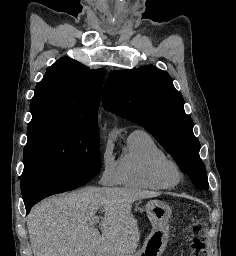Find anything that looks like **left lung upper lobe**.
Returning a JSON list of instances; mask_svg holds the SVG:
<instances>
[{"mask_svg":"<svg viewBox=\"0 0 236 256\" xmlns=\"http://www.w3.org/2000/svg\"><path fill=\"white\" fill-rule=\"evenodd\" d=\"M102 100L107 110L144 127L198 189L208 190L193 121L167 72L151 65L115 71L107 78Z\"/></svg>","mask_w":236,"mask_h":256,"instance_id":"obj_1","label":"left lung upper lobe"}]
</instances>
